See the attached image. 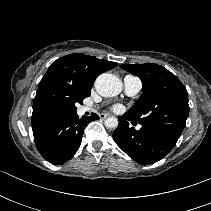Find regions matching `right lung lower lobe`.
Wrapping results in <instances>:
<instances>
[{
	"instance_id": "98d812e1",
	"label": "right lung lower lobe",
	"mask_w": 211,
	"mask_h": 211,
	"mask_svg": "<svg viewBox=\"0 0 211 211\" xmlns=\"http://www.w3.org/2000/svg\"><path fill=\"white\" fill-rule=\"evenodd\" d=\"M96 119H99L98 115L92 114L89 121ZM86 123L73 113L33 127L38 151L54 165L65 163L77 152Z\"/></svg>"
}]
</instances>
